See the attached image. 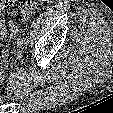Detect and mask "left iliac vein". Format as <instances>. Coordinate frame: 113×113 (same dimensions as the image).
<instances>
[{"label":"left iliac vein","mask_w":113,"mask_h":113,"mask_svg":"<svg viewBox=\"0 0 113 113\" xmlns=\"http://www.w3.org/2000/svg\"><path fill=\"white\" fill-rule=\"evenodd\" d=\"M27 41H28L27 37H21L17 40V46L21 48L27 44Z\"/></svg>","instance_id":"left-iliac-vein-1"}]
</instances>
